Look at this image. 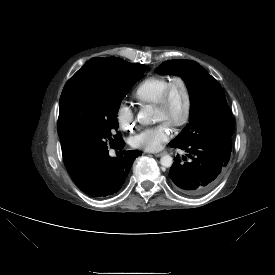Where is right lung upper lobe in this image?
<instances>
[{
  "label": "right lung upper lobe",
  "mask_w": 275,
  "mask_h": 275,
  "mask_svg": "<svg viewBox=\"0 0 275 275\" xmlns=\"http://www.w3.org/2000/svg\"><path fill=\"white\" fill-rule=\"evenodd\" d=\"M133 64L135 63H129L118 57H108V58L95 57L87 61L85 65L80 70H78L66 84L68 85L73 82L83 83L86 80V76L91 71H94V70L106 71L111 69H120L125 66L133 65ZM62 153L69 172L70 173L74 172L82 162L79 160H76L63 146H62Z\"/></svg>",
  "instance_id": "cb5924a9"
}]
</instances>
